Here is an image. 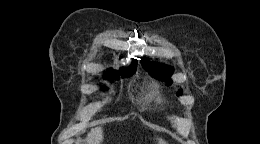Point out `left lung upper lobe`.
<instances>
[{
  "instance_id": "obj_1",
  "label": "left lung upper lobe",
  "mask_w": 260,
  "mask_h": 144,
  "mask_svg": "<svg viewBox=\"0 0 260 144\" xmlns=\"http://www.w3.org/2000/svg\"><path fill=\"white\" fill-rule=\"evenodd\" d=\"M142 64L147 69L148 73L157 79H161L163 81H166L168 84H171L172 81L170 79L173 68L170 66H164L162 64H157L155 62H150L149 59L142 57ZM182 90H180L177 95H181Z\"/></svg>"
}]
</instances>
